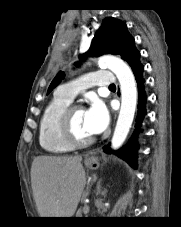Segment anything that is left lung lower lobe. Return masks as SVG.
Listing matches in <instances>:
<instances>
[{
  "mask_svg": "<svg viewBox=\"0 0 181 227\" xmlns=\"http://www.w3.org/2000/svg\"><path fill=\"white\" fill-rule=\"evenodd\" d=\"M140 58V52L137 51V49L134 47L131 48V50L128 52V54L125 57V61L131 66L132 71L135 75L137 86H138V114H137V124L135 125L136 131L133 133L129 143L126 145V147H123L122 149L114 152L122 159L126 160L132 167L136 168V155L135 152L138 148V146H135L136 137L138 132L140 130L141 122L144 118V115L146 114V93H145V87L142 73H143V65L139 61ZM104 152L111 153L109 145L104 147Z\"/></svg>",
  "mask_w": 181,
  "mask_h": 227,
  "instance_id": "obj_1",
  "label": "left lung lower lobe"
}]
</instances>
